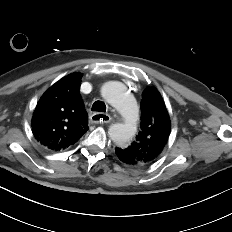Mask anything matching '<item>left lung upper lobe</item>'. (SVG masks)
<instances>
[{
	"mask_svg": "<svg viewBox=\"0 0 232 232\" xmlns=\"http://www.w3.org/2000/svg\"><path fill=\"white\" fill-rule=\"evenodd\" d=\"M141 130L131 145L120 150L129 156L134 167L154 163L168 142L171 122L160 93L155 88H147L141 101Z\"/></svg>",
	"mask_w": 232,
	"mask_h": 232,
	"instance_id": "1",
	"label": "left lung upper lobe"
}]
</instances>
